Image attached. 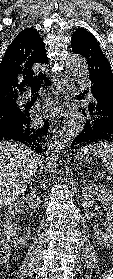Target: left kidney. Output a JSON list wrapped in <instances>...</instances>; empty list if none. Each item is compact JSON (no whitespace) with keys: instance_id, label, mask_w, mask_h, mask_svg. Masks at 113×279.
<instances>
[{"instance_id":"1","label":"left kidney","mask_w":113,"mask_h":279,"mask_svg":"<svg viewBox=\"0 0 113 279\" xmlns=\"http://www.w3.org/2000/svg\"><path fill=\"white\" fill-rule=\"evenodd\" d=\"M95 196L102 202L104 209L107 211V216L104 224L105 232L98 225H94V236L97 242L108 247L113 245V194L112 191L101 185L94 183L85 184L81 195L83 206L86 208L91 207Z\"/></svg>"}]
</instances>
